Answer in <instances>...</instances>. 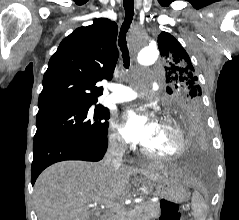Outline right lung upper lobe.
Returning a JSON list of instances; mask_svg holds the SVG:
<instances>
[{"label": "right lung upper lobe", "instance_id": "right-lung-upper-lobe-1", "mask_svg": "<svg viewBox=\"0 0 239 220\" xmlns=\"http://www.w3.org/2000/svg\"><path fill=\"white\" fill-rule=\"evenodd\" d=\"M117 32L115 22L99 18L66 37L49 60L39 110L95 104L103 94L97 82L112 79L118 59Z\"/></svg>", "mask_w": 239, "mask_h": 220}]
</instances>
